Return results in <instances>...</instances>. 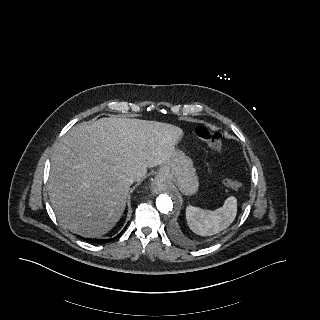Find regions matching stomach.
Masks as SVG:
<instances>
[{
	"instance_id": "stomach-1",
	"label": "stomach",
	"mask_w": 320,
	"mask_h": 320,
	"mask_svg": "<svg viewBox=\"0 0 320 320\" xmlns=\"http://www.w3.org/2000/svg\"><path fill=\"white\" fill-rule=\"evenodd\" d=\"M156 179L164 186L178 189L184 195H193L198 191L199 181L193 162L180 150H174L158 170Z\"/></svg>"
}]
</instances>
